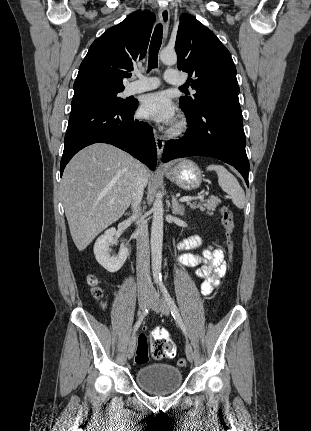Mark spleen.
<instances>
[{"mask_svg":"<svg viewBox=\"0 0 311 431\" xmlns=\"http://www.w3.org/2000/svg\"><path fill=\"white\" fill-rule=\"evenodd\" d=\"M206 170H208V172L214 170L218 176L220 188H222L223 192L231 196L234 206H237V208H244L246 204L245 192L242 190L241 186H239V182L234 178L233 174H230L224 166H208Z\"/></svg>","mask_w":311,"mask_h":431,"instance_id":"3e777b00","label":"spleen"}]
</instances>
